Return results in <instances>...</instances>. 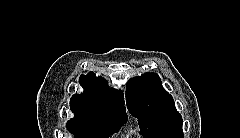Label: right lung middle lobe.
Returning a JSON list of instances; mask_svg holds the SVG:
<instances>
[{"instance_id": "right-lung-middle-lobe-1", "label": "right lung middle lobe", "mask_w": 240, "mask_h": 138, "mask_svg": "<svg viewBox=\"0 0 240 138\" xmlns=\"http://www.w3.org/2000/svg\"><path fill=\"white\" fill-rule=\"evenodd\" d=\"M67 129L75 138H107L117 132L121 126H104L82 122H67Z\"/></svg>"}]
</instances>
